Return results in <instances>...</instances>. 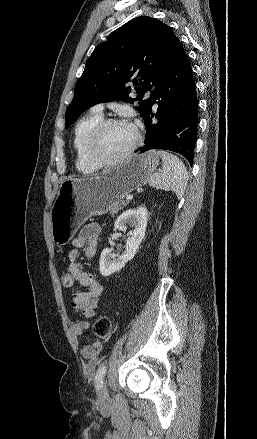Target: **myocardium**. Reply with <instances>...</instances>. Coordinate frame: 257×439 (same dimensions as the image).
Listing matches in <instances>:
<instances>
[{"label":"myocardium","instance_id":"1","mask_svg":"<svg viewBox=\"0 0 257 439\" xmlns=\"http://www.w3.org/2000/svg\"><path fill=\"white\" fill-rule=\"evenodd\" d=\"M113 125H128L131 126L135 131V139L134 141L129 145L127 149H125L122 153L117 155L116 157L112 159H103L99 156L97 152V146L100 141L101 136L105 132L107 128ZM142 142V134L138 126L128 120V119H120V118H108L103 119L100 123H98L93 130L91 131L90 135L88 136L87 142H86V152L90 159V161L96 166V167H106L118 162H121L128 158L141 144Z\"/></svg>","mask_w":257,"mask_h":439}]
</instances>
